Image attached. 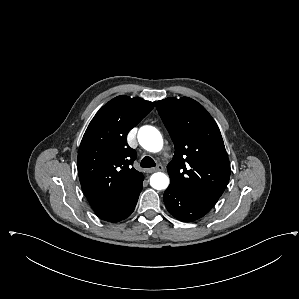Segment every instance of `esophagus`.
Masks as SVG:
<instances>
[{
    "mask_svg": "<svg viewBox=\"0 0 299 299\" xmlns=\"http://www.w3.org/2000/svg\"><path fill=\"white\" fill-rule=\"evenodd\" d=\"M163 170V166L161 164L157 165V167L155 168H149L147 169V173H153V172H156V171H162Z\"/></svg>",
    "mask_w": 299,
    "mask_h": 299,
    "instance_id": "esophagus-1",
    "label": "esophagus"
}]
</instances>
